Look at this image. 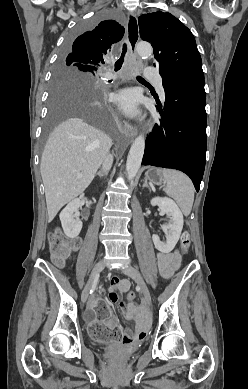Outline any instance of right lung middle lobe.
<instances>
[{
    "instance_id": "1",
    "label": "right lung middle lobe",
    "mask_w": 248,
    "mask_h": 389,
    "mask_svg": "<svg viewBox=\"0 0 248 389\" xmlns=\"http://www.w3.org/2000/svg\"><path fill=\"white\" fill-rule=\"evenodd\" d=\"M103 18L98 15L94 20L82 22L77 27L75 34H79L86 29H91L94 22ZM64 58V57H63ZM63 58L58 63L55 72V82L58 85L67 83H86L92 82L96 72L87 67H69L63 64ZM84 118L99 125H105L107 115L103 108L96 104L83 103L78 104L67 100L59 101L55 96L52 97L49 107L48 125L45 137L59 122L69 118Z\"/></svg>"
}]
</instances>
